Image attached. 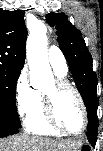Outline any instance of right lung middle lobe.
I'll return each instance as SVG.
<instances>
[{"mask_svg":"<svg viewBox=\"0 0 103 151\" xmlns=\"http://www.w3.org/2000/svg\"><path fill=\"white\" fill-rule=\"evenodd\" d=\"M20 70L0 66V123L12 128L20 129L15 91Z\"/></svg>","mask_w":103,"mask_h":151,"instance_id":"right-lung-middle-lobe-1","label":"right lung middle lobe"}]
</instances>
